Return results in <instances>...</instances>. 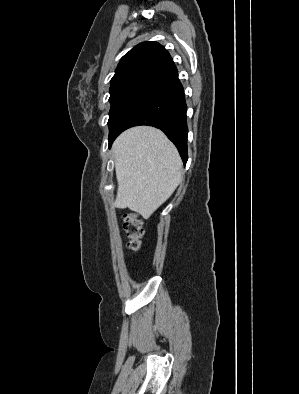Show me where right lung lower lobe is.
<instances>
[{"label":"right lung lower lobe","instance_id":"right-lung-lower-lobe-1","mask_svg":"<svg viewBox=\"0 0 299 394\" xmlns=\"http://www.w3.org/2000/svg\"><path fill=\"white\" fill-rule=\"evenodd\" d=\"M186 109L184 90L176 70L149 87L130 105L109 134V147L130 127L154 126L175 144L185 165L188 159Z\"/></svg>","mask_w":299,"mask_h":394}]
</instances>
